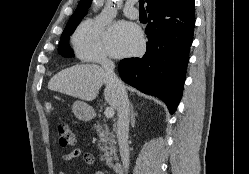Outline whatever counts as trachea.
Here are the masks:
<instances>
[{"label":"trachea","mask_w":249,"mask_h":174,"mask_svg":"<svg viewBox=\"0 0 249 174\" xmlns=\"http://www.w3.org/2000/svg\"><path fill=\"white\" fill-rule=\"evenodd\" d=\"M140 10H144V0H139Z\"/></svg>","instance_id":"trachea-1"}]
</instances>
